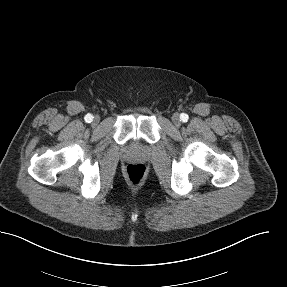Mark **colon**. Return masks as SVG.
I'll use <instances>...</instances> for the list:
<instances>
[{"label": "colon", "instance_id": "obj_1", "mask_svg": "<svg viewBox=\"0 0 287 287\" xmlns=\"http://www.w3.org/2000/svg\"><path fill=\"white\" fill-rule=\"evenodd\" d=\"M125 175L132 185H139L146 176V167L143 164H129L125 168Z\"/></svg>", "mask_w": 287, "mask_h": 287}]
</instances>
